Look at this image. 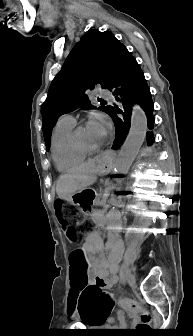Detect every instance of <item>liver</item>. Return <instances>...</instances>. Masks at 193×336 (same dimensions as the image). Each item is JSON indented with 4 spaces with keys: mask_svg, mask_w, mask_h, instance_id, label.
<instances>
[{
    "mask_svg": "<svg viewBox=\"0 0 193 336\" xmlns=\"http://www.w3.org/2000/svg\"><path fill=\"white\" fill-rule=\"evenodd\" d=\"M99 162L100 157H96L62 174L56 183L58 197L70 200L72 194L94 184L97 180V174L101 173Z\"/></svg>",
    "mask_w": 193,
    "mask_h": 336,
    "instance_id": "1",
    "label": "liver"
}]
</instances>
